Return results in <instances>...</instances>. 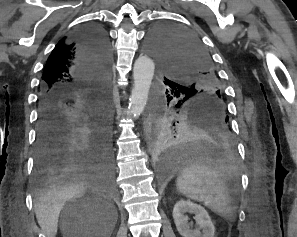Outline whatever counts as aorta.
I'll return each instance as SVG.
<instances>
[{
  "label": "aorta",
  "instance_id": "aorta-1",
  "mask_svg": "<svg viewBox=\"0 0 297 237\" xmlns=\"http://www.w3.org/2000/svg\"><path fill=\"white\" fill-rule=\"evenodd\" d=\"M148 43V49L152 51L151 40ZM154 69V62L147 55L140 56L134 63V85L129 103L130 115L134 118H138L146 106Z\"/></svg>",
  "mask_w": 297,
  "mask_h": 237
}]
</instances>
